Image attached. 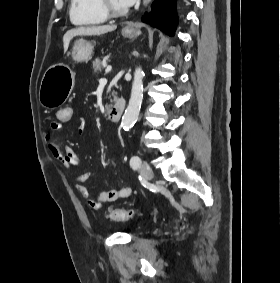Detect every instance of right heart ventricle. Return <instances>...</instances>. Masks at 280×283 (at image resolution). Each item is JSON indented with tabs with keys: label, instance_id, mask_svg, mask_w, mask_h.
<instances>
[{
	"label": "right heart ventricle",
	"instance_id": "obj_1",
	"mask_svg": "<svg viewBox=\"0 0 280 283\" xmlns=\"http://www.w3.org/2000/svg\"><path fill=\"white\" fill-rule=\"evenodd\" d=\"M69 15L75 25H95L107 20L98 0H71Z\"/></svg>",
	"mask_w": 280,
	"mask_h": 283
}]
</instances>
